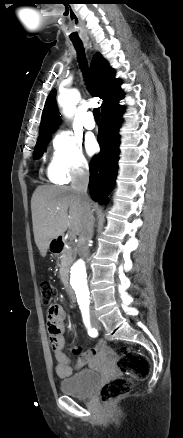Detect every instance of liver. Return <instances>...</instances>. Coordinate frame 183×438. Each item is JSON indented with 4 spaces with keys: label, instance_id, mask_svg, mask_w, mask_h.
<instances>
[{
    "label": "liver",
    "instance_id": "6515ba94",
    "mask_svg": "<svg viewBox=\"0 0 183 438\" xmlns=\"http://www.w3.org/2000/svg\"><path fill=\"white\" fill-rule=\"evenodd\" d=\"M35 243L42 257L52 240L63 236L67 228L80 235L84 222V205L71 187L39 186L31 199Z\"/></svg>",
    "mask_w": 183,
    "mask_h": 438
}]
</instances>
